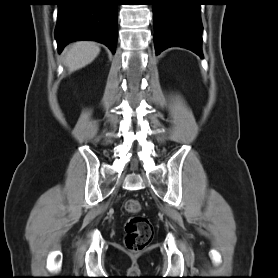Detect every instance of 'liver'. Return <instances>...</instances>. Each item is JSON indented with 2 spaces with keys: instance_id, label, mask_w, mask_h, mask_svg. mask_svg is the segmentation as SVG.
Returning a JSON list of instances; mask_svg holds the SVG:
<instances>
[{
  "instance_id": "1",
  "label": "liver",
  "mask_w": 278,
  "mask_h": 278,
  "mask_svg": "<svg viewBox=\"0 0 278 278\" xmlns=\"http://www.w3.org/2000/svg\"><path fill=\"white\" fill-rule=\"evenodd\" d=\"M100 53L99 46L91 41L73 43L65 54V64L72 72L90 64Z\"/></svg>"
}]
</instances>
